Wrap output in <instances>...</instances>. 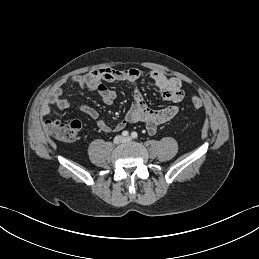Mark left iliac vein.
I'll return each mask as SVG.
<instances>
[{"mask_svg": "<svg viewBox=\"0 0 259 259\" xmlns=\"http://www.w3.org/2000/svg\"><path fill=\"white\" fill-rule=\"evenodd\" d=\"M131 140H132L131 137H126V138L124 139L125 142H130Z\"/></svg>", "mask_w": 259, "mask_h": 259, "instance_id": "obj_1", "label": "left iliac vein"}]
</instances>
